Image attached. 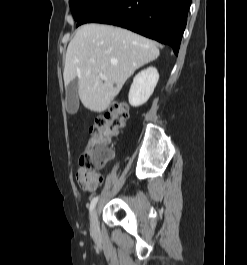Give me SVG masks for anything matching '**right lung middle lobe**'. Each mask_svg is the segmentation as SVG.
Wrapping results in <instances>:
<instances>
[{
	"label": "right lung middle lobe",
	"instance_id": "obj_1",
	"mask_svg": "<svg viewBox=\"0 0 247 265\" xmlns=\"http://www.w3.org/2000/svg\"><path fill=\"white\" fill-rule=\"evenodd\" d=\"M97 1L98 0H69L74 19L79 21Z\"/></svg>",
	"mask_w": 247,
	"mask_h": 265
}]
</instances>
